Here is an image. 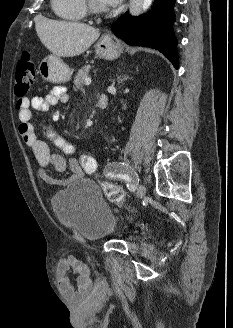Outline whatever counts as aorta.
<instances>
[{
  "label": "aorta",
  "mask_w": 233,
  "mask_h": 328,
  "mask_svg": "<svg viewBox=\"0 0 233 328\" xmlns=\"http://www.w3.org/2000/svg\"><path fill=\"white\" fill-rule=\"evenodd\" d=\"M153 0H130L129 1V13L136 16L141 13L142 10L148 9Z\"/></svg>",
  "instance_id": "aorta-1"
}]
</instances>
